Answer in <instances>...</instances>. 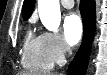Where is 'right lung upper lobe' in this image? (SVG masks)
I'll return each instance as SVG.
<instances>
[{
    "label": "right lung upper lobe",
    "mask_w": 107,
    "mask_h": 75,
    "mask_svg": "<svg viewBox=\"0 0 107 75\" xmlns=\"http://www.w3.org/2000/svg\"><path fill=\"white\" fill-rule=\"evenodd\" d=\"M35 0H24L23 7H22V16L23 19L27 20L34 9Z\"/></svg>",
    "instance_id": "1"
}]
</instances>
